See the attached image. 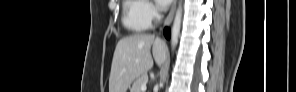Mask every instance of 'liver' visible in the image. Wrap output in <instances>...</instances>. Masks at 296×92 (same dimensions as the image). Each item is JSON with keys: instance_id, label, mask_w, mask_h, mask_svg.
<instances>
[{"instance_id": "1", "label": "liver", "mask_w": 296, "mask_h": 92, "mask_svg": "<svg viewBox=\"0 0 296 92\" xmlns=\"http://www.w3.org/2000/svg\"><path fill=\"white\" fill-rule=\"evenodd\" d=\"M166 59L167 45L158 37L134 34L120 39L116 45L109 77V92H127L131 83L153 66Z\"/></svg>"}]
</instances>
